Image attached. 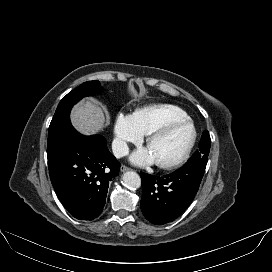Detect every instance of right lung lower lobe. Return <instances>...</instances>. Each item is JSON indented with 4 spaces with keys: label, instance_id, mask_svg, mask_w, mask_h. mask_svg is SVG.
Returning a JSON list of instances; mask_svg holds the SVG:
<instances>
[{
    "label": "right lung lower lobe",
    "instance_id": "1",
    "mask_svg": "<svg viewBox=\"0 0 272 272\" xmlns=\"http://www.w3.org/2000/svg\"><path fill=\"white\" fill-rule=\"evenodd\" d=\"M49 174L63 206L78 220H93L103 210L109 182L120 163L101 135L84 136L74 128L47 153Z\"/></svg>",
    "mask_w": 272,
    "mask_h": 272
}]
</instances>
